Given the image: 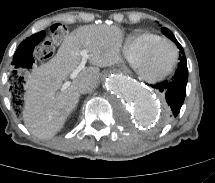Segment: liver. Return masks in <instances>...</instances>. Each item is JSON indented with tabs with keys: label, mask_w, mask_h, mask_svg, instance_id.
Masks as SVG:
<instances>
[{
	"label": "liver",
	"mask_w": 215,
	"mask_h": 183,
	"mask_svg": "<svg viewBox=\"0 0 215 183\" xmlns=\"http://www.w3.org/2000/svg\"><path fill=\"white\" fill-rule=\"evenodd\" d=\"M123 33L116 26L85 25L67 36L57 54L46 64L34 69L25 85L24 124L38 138L56 135L75 109L83 81L98 83L99 68L119 62ZM89 53V63L96 67L83 69L71 85L62 90V83L81 62L80 51ZM60 90V91H59Z\"/></svg>",
	"instance_id": "obj_1"
}]
</instances>
